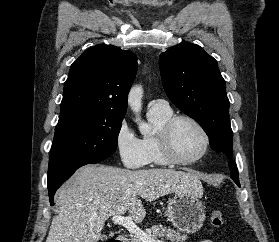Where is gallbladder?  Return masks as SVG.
Masks as SVG:
<instances>
[{"instance_id": "obj_1", "label": "gallbladder", "mask_w": 279, "mask_h": 242, "mask_svg": "<svg viewBox=\"0 0 279 242\" xmlns=\"http://www.w3.org/2000/svg\"><path fill=\"white\" fill-rule=\"evenodd\" d=\"M106 238H107V236H106V235L102 236V239H106Z\"/></svg>"}]
</instances>
